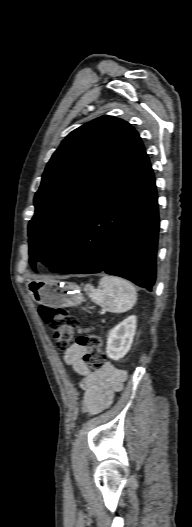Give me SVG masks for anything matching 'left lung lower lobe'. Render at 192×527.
<instances>
[{
	"instance_id": "left-lung-lower-lobe-1",
	"label": "left lung lower lobe",
	"mask_w": 192,
	"mask_h": 527,
	"mask_svg": "<svg viewBox=\"0 0 192 527\" xmlns=\"http://www.w3.org/2000/svg\"><path fill=\"white\" fill-rule=\"evenodd\" d=\"M158 231L155 180L144 151L110 188L50 271H104L151 291Z\"/></svg>"
}]
</instances>
